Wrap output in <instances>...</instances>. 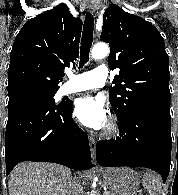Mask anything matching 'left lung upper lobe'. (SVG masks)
I'll list each match as a JSON object with an SVG mask.
<instances>
[{
    "mask_svg": "<svg viewBox=\"0 0 178 195\" xmlns=\"http://www.w3.org/2000/svg\"><path fill=\"white\" fill-rule=\"evenodd\" d=\"M101 39L111 49L110 69H120L109 92L118 120L140 112L170 119L169 58L159 31L111 5L103 15Z\"/></svg>",
    "mask_w": 178,
    "mask_h": 195,
    "instance_id": "left-lung-upper-lobe-1",
    "label": "left lung upper lobe"
}]
</instances>
